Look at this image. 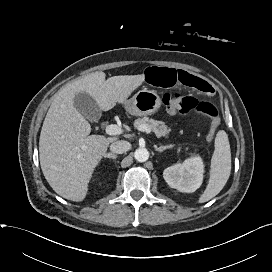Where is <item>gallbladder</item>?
<instances>
[{"instance_id":"bac80fb5","label":"gallbladder","mask_w":272,"mask_h":272,"mask_svg":"<svg viewBox=\"0 0 272 272\" xmlns=\"http://www.w3.org/2000/svg\"><path fill=\"white\" fill-rule=\"evenodd\" d=\"M76 109L90 121H97L100 118L101 111L96 101L87 93H78L74 99Z\"/></svg>"}]
</instances>
